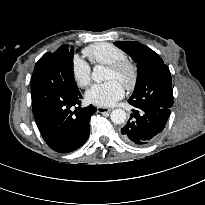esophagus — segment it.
Returning <instances> with one entry per match:
<instances>
[{"label": "esophagus", "mask_w": 205, "mask_h": 205, "mask_svg": "<svg viewBox=\"0 0 205 205\" xmlns=\"http://www.w3.org/2000/svg\"><path fill=\"white\" fill-rule=\"evenodd\" d=\"M97 111L99 113H105V112H110L111 109L110 108H105V107H97Z\"/></svg>", "instance_id": "obj_1"}]
</instances>
